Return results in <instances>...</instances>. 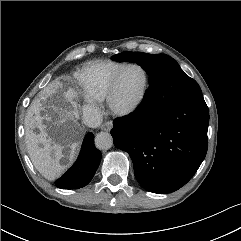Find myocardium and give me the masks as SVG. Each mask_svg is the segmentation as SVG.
<instances>
[{
    "mask_svg": "<svg viewBox=\"0 0 241 241\" xmlns=\"http://www.w3.org/2000/svg\"><path fill=\"white\" fill-rule=\"evenodd\" d=\"M130 67H137L143 72V74H144V84H143L141 92L135 98L134 101H132L128 105L119 106L115 102V93H116L117 82H118V79H119L120 75L122 74V72L125 69L130 68ZM149 83H150V75H149L148 70L143 65H141L139 63H135V62L125 63L114 74V76L112 77V79L110 81L109 87H108V91H107V94H106V102H107V105H108L110 111L114 115L119 116V117H126V116H129V115L133 114L134 112H136L146 98L148 88H149Z\"/></svg>",
    "mask_w": 241,
    "mask_h": 241,
    "instance_id": "myocardium-1",
    "label": "myocardium"
}]
</instances>
